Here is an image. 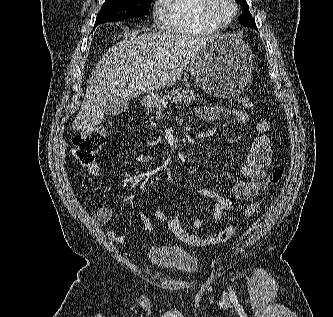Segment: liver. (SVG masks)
Returning a JSON list of instances; mask_svg holds the SVG:
<instances>
[{
	"label": "liver",
	"instance_id": "1",
	"mask_svg": "<svg viewBox=\"0 0 333 317\" xmlns=\"http://www.w3.org/2000/svg\"><path fill=\"white\" fill-rule=\"evenodd\" d=\"M211 38L167 31L141 35L135 32L113 45L88 80L72 129L83 135L91 133L104 120L105 103L113 96L130 99L173 86L199 48Z\"/></svg>",
	"mask_w": 333,
	"mask_h": 317
}]
</instances>
